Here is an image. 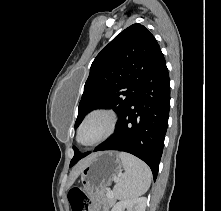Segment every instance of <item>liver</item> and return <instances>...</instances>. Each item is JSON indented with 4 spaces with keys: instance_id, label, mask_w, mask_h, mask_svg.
I'll return each instance as SVG.
<instances>
[{
    "instance_id": "6515ba94",
    "label": "liver",
    "mask_w": 221,
    "mask_h": 211,
    "mask_svg": "<svg viewBox=\"0 0 221 211\" xmlns=\"http://www.w3.org/2000/svg\"><path fill=\"white\" fill-rule=\"evenodd\" d=\"M93 155L85 158L84 160H82L81 162H79L74 170L71 173V178H70V182L68 184V186H71L74 181L76 180V178L79 176V174L81 173L82 169L85 167V165L89 162V160L92 158Z\"/></svg>"
}]
</instances>
